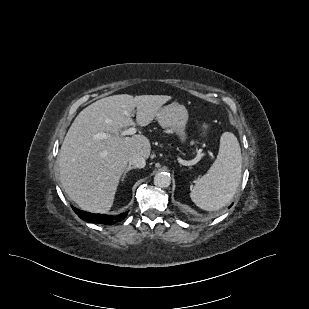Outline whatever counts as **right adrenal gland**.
Returning a JSON list of instances; mask_svg holds the SVG:
<instances>
[{
    "label": "right adrenal gland",
    "mask_w": 309,
    "mask_h": 309,
    "mask_svg": "<svg viewBox=\"0 0 309 309\" xmlns=\"http://www.w3.org/2000/svg\"><path fill=\"white\" fill-rule=\"evenodd\" d=\"M132 169H136V167L130 166V165H129V166L126 168V170L124 171V173H123V175H122V178H121V181H122V182L124 181V178H125L126 174H127L130 170H132Z\"/></svg>",
    "instance_id": "1"
}]
</instances>
